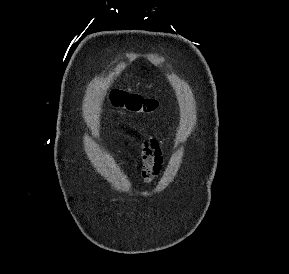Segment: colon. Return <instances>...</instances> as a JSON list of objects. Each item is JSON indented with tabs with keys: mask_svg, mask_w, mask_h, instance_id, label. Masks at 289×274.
Returning a JSON list of instances; mask_svg holds the SVG:
<instances>
[{
	"mask_svg": "<svg viewBox=\"0 0 289 274\" xmlns=\"http://www.w3.org/2000/svg\"><path fill=\"white\" fill-rule=\"evenodd\" d=\"M113 105L132 113L151 114L159 106L155 99L145 98L140 95L129 94L124 91L114 90L110 94Z\"/></svg>",
	"mask_w": 289,
	"mask_h": 274,
	"instance_id": "1",
	"label": "colon"
}]
</instances>
